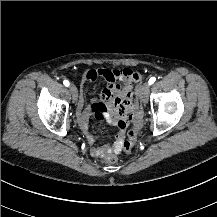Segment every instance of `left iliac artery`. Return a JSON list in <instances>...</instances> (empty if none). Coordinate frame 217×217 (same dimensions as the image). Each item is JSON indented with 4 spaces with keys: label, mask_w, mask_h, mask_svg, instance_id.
I'll use <instances>...</instances> for the list:
<instances>
[{
    "label": "left iliac artery",
    "mask_w": 217,
    "mask_h": 217,
    "mask_svg": "<svg viewBox=\"0 0 217 217\" xmlns=\"http://www.w3.org/2000/svg\"><path fill=\"white\" fill-rule=\"evenodd\" d=\"M156 81L155 77H151L148 81L149 85H152Z\"/></svg>",
    "instance_id": "1"
}]
</instances>
